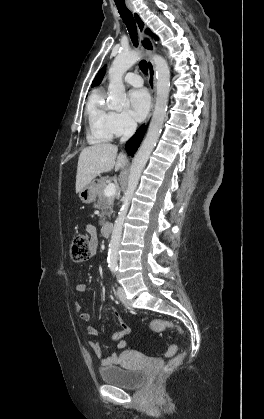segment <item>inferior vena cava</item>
<instances>
[{"instance_id":"inferior-vena-cava-1","label":"inferior vena cava","mask_w":264,"mask_h":419,"mask_svg":"<svg viewBox=\"0 0 264 419\" xmlns=\"http://www.w3.org/2000/svg\"><path fill=\"white\" fill-rule=\"evenodd\" d=\"M136 128H137V124L134 120L132 119L127 120L125 124L124 134L122 138L120 139V142L121 143L127 142L130 139V137L134 134Z\"/></svg>"}]
</instances>
